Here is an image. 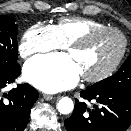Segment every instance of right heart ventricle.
<instances>
[{
  "mask_svg": "<svg viewBox=\"0 0 131 131\" xmlns=\"http://www.w3.org/2000/svg\"><path fill=\"white\" fill-rule=\"evenodd\" d=\"M107 27L104 23L91 18L64 17L54 25L59 41L63 46L86 32Z\"/></svg>",
  "mask_w": 131,
  "mask_h": 131,
  "instance_id": "1",
  "label": "right heart ventricle"
}]
</instances>
